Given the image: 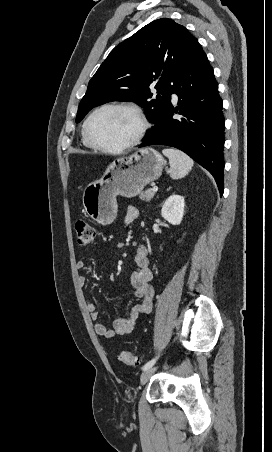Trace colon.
<instances>
[{"instance_id":"obj_1","label":"colon","mask_w":272,"mask_h":452,"mask_svg":"<svg viewBox=\"0 0 272 452\" xmlns=\"http://www.w3.org/2000/svg\"><path fill=\"white\" fill-rule=\"evenodd\" d=\"M77 243L80 246H89L95 240V229L86 220L79 219L75 223ZM119 360L126 365H135L140 362L139 358L132 352L124 351L119 355Z\"/></svg>"}]
</instances>
